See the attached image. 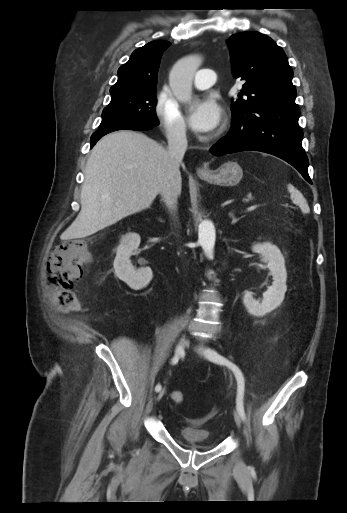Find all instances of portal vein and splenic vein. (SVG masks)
I'll list each match as a JSON object with an SVG mask.
<instances>
[{"instance_id": "18ae733b", "label": "portal vein and splenic vein", "mask_w": 347, "mask_h": 513, "mask_svg": "<svg viewBox=\"0 0 347 513\" xmlns=\"http://www.w3.org/2000/svg\"><path fill=\"white\" fill-rule=\"evenodd\" d=\"M257 205H253V206H250L249 208L246 209V212H253L254 210L257 209Z\"/></svg>"}]
</instances>
